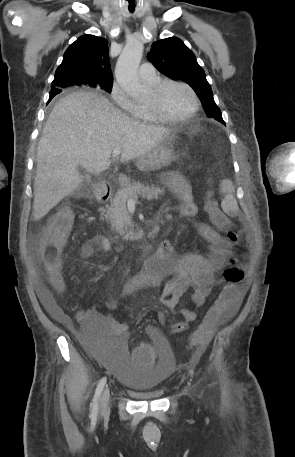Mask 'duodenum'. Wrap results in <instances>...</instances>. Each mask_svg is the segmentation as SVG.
I'll use <instances>...</instances> for the list:
<instances>
[{
  "instance_id": "duodenum-1",
  "label": "duodenum",
  "mask_w": 295,
  "mask_h": 457,
  "mask_svg": "<svg viewBox=\"0 0 295 457\" xmlns=\"http://www.w3.org/2000/svg\"><path fill=\"white\" fill-rule=\"evenodd\" d=\"M95 197L98 202L100 203H106L110 200L111 198V191L109 188L106 187H98L95 191ZM158 220H154L149 223L150 229L155 228ZM144 246H147L146 243L143 244Z\"/></svg>"
}]
</instances>
